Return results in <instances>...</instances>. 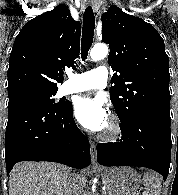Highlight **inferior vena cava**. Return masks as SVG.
Wrapping results in <instances>:
<instances>
[{"instance_id": "inferior-vena-cava-1", "label": "inferior vena cava", "mask_w": 178, "mask_h": 195, "mask_svg": "<svg viewBox=\"0 0 178 195\" xmlns=\"http://www.w3.org/2000/svg\"><path fill=\"white\" fill-rule=\"evenodd\" d=\"M82 189L78 183L77 177L73 176L71 183V194L72 195H81Z\"/></svg>"}]
</instances>
